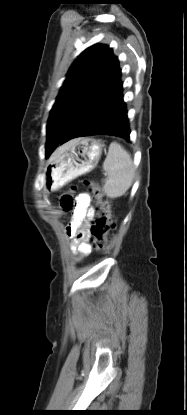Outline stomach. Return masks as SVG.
I'll list each match as a JSON object with an SVG mask.
<instances>
[{"label":"stomach","mask_w":187,"mask_h":415,"mask_svg":"<svg viewBox=\"0 0 187 415\" xmlns=\"http://www.w3.org/2000/svg\"><path fill=\"white\" fill-rule=\"evenodd\" d=\"M103 146L101 141L89 137L73 140L67 150L46 165L45 189L57 190L93 170L101 157Z\"/></svg>","instance_id":"1"}]
</instances>
